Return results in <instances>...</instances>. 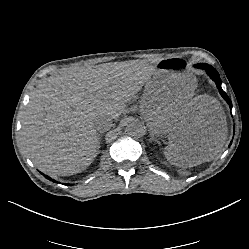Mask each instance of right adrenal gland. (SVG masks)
I'll return each mask as SVG.
<instances>
[{
  "label": "right adrenal gland",
  "mask_w": 249,
  "mask_h": 249,
  "mask_svg": "<svg viewBox=\"0 0 249 249\" xmlns=\"http://www.w3.org/2000/svg\"><path fill=\"white\" fill-rule=\"evenodd\" d=\"M102 134V132H99L98 135L100 136Z\"/></svg>",
  "instance_id": "2a0ac1e0"
}]
</instances>
